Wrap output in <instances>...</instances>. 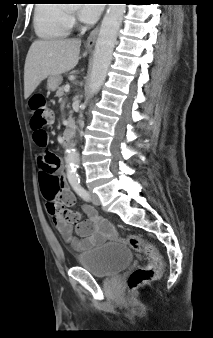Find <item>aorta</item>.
<instances>
[{
    "mask_svg": "<svg viewBox=\"0 0 213 338\" xmlns=\"http://www.w3.org/2000/svg\"><path fill=\"white\" fill-rule=\"evenodd\" d=\"M125 10V4H109L102 20L95 45L94 60L89 82V93L92 96L100 90L105 82ZM66 164L68 178H76L78 156L72 148L68 151Z\"/></svg>",
    "mask_w": 213,
    "mask_h": 338,
    "instance_id": "obj_1",
    "label": "aorta"
}]
</instances>
